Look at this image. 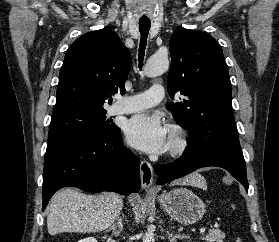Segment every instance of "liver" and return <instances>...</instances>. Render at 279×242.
<instances>
[{
    "label": "liver",
    "instance_id": "6515ba94",
    "mask_svg": "<svg viewBox=\"0 0 279 242\" xmlns=\"http://www.w3.org/2000/svg\"><path fill=\"white\" fill-rule=\"evenodd\" d=\"M174 184L207 188L205 179L198 174L184 177ZM122 206V197L116 193L87 195L71 188L62 189L50 201L48 233L103 231L114 223Z\"/></svg>",
    "mask_w": 279,
    "mask_h": 242
}]
</instances>
